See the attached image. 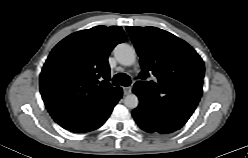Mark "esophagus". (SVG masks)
I'll list each match as a JSON object with an SVG mask.
<instances>
[{
	"label": "esophagus",
	"instance_id": "obj_1",
	"mask_svg": "<svg viewBox=\"0 0 248 158\" xmlns=\"http://www.w3.org/2000/svg\"><path fill=\"white\" fill-rule=\"evenodd\" d=\"M132 92L130 87H123L124 95H129Z\"/></svg>",
	"mask_w": 248,
	"mask_h": 158
}]
</instances>
